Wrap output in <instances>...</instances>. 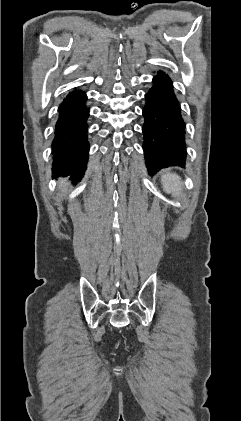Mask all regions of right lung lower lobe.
Segmentation results:
<instances>
[{
    "label": "right lung lower lobe",
    "mask_w": 241,
    "mask_h": 421,
    "mask_svg": "<svg viewBox=\"0 0 241 421\" xmlns=\"http://www.w3.org/2000/svg\"><path fill=\"white\" fill-rule=\"evenodd\" d=\"M86 99L85 92L75 90L58 108L59 117L52 142L54 177L70 175V179L80 181L84 175L89 152L86 123L89 108L85 105Z\"/></svg>",
    "instance_id": "obj_1"
}]
</instances>
